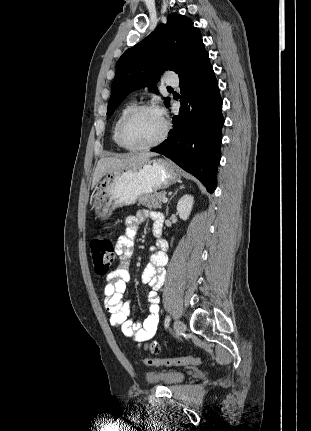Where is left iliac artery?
Returning a JSON list of instances; mask_svg holds the SVG:
<instances>
[{
  "label": "left iliac artery",
  "mask_w": 311,
  "mask_h": 431,
  "mask_svg": "<svg viewBox=\"0 0 311 431\" xmlns=\"http://www.w3.org/2000/svg\"><path fill=\"white\" fill-rule=\"evenodd\" d=\"M169 324H170V317H169V316H166L165 321H164V326H165V328H168V327H169Z\"/></svg>",
  "instance_id": "obj_1"
}]
</instances>
